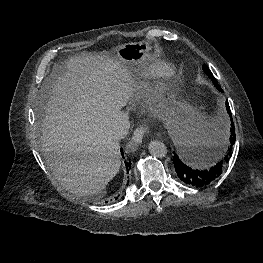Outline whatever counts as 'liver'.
<instances>
[{"instance_id":"1","label":"liver","mask_w":263,"mask_h":263,"mask_svg":"<svg viewBox=\"0 0 263 263\" xmlns=\"http://www.w3.org/2000/svg\"><path fill=\"white\" fill-rule=\"evenodd\" d=\"M65 67L52 83L50 78L44 82L51 95L42 124V152L65 189L85 196L101 193L121 166L120 145L108 126L126 116L121 108L131 98L147 92L135 81L133 66L118 55L84 52ZM176 112L197 119L189 106L178 104Z\"/></svg>"}]
</instances>
